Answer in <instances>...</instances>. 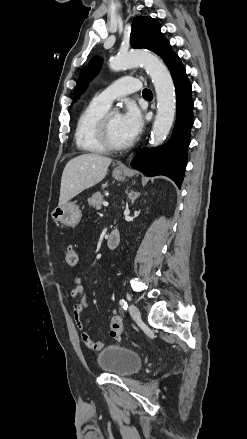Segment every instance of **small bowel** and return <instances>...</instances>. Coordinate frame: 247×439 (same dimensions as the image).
<instances>
[{"instance_id":"small-bowel-1","label":"small bowel","mask_w":247,"mask_h":439,"mask_svg":"<svg viewBox=\"0 0 247 439\" xmlns=\"http://www.w3.org/2000/svg\"><path fill=\"white\" fill-rule=\"evenodd\" d=\"M71 296L77 299L73 308V315H74L76 326L80 331L82 342L90 350L98 351L102 349L105 343L100 340L99 341L93 340L90 337V335L84 330L82 315L85 308L87 307V299H86L84 286L79 277H75L74 279V285L71 291Z\"/></svg>"}]
</instances>
